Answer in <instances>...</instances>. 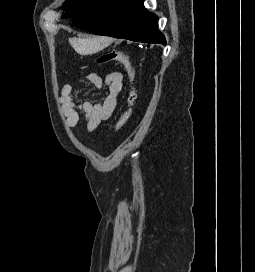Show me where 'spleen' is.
Returning a JSON list of instances; mask_svg holds the SVG:
<instances>
[{"label": "spleen", "instance_id": "obj_1", "mask_svg": "<svg viewBox=\"0 0 255 272\" xmlns=\"http://www.w3.org/2000/svg\"><path fill=\"white\" fill-rule=\"evenodd\" d=\"M70 44L74 48V50L81 55H89L94 54L108 46L110 40L104 38H70Z\"/></svg>", "mask_w": 255, "mask_h": 272}]
</instances>
